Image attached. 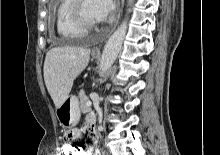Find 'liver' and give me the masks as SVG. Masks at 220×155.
Here are the masks:
<instances>
[{"mask_svg": "<svg viewBox=\"0 0 220 155\" xmlns=\"http://www.w3.org/2000/svg\"><path fill=\"white\" fill-rule=\"evenodd\" d=\"M89 59L90 50L78 47H54L47 52L44 81L56 109L68 98L74 80L86 68Z\"/></svg>", "mask_w": 220, "mask_h": 155, "instance_id": "6515ba94", "label": "liver"}]
</instances>
